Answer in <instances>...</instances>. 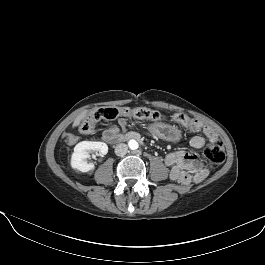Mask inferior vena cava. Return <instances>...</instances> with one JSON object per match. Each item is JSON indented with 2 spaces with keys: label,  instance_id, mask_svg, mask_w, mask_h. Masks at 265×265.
Masks as SVG:
<instances>
[{
  "label": "inferior vena cava",
  "instance_id": "obj_1",
  "mask_svg": "<svg viewBox=\"0 0 265 265\" xmlns=\"http://www.w3.org/2000/svg\"><path fill=\"white\" fill-rule=\"evenodd\" d=\"M127 152H128L127 144L120 143V144L116 145L115 154L117 156H124V155H126Z\"/></svg>",
  "mask_w": 265,
  "mask_h": 265
}]
</instances>
